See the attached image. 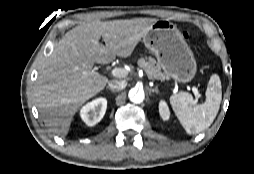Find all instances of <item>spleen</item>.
<instances>
[{"label": "spleen", "instance_id": "1", "mask_svg": "<svg viewBox=\"0 0 254 174\" xmlns=\"http://www.w3.org/2000/svg\"><path fill=\"white\" fill-rule=\"evenodd\" d=\"M222 99L221 82L212 75L206 90V101L197 105L191 94L180 92L170 97V104L188 134H198L213 123Z\"/></svg>", "mask_w": 254, "mask_h": 174}]
</instances>
